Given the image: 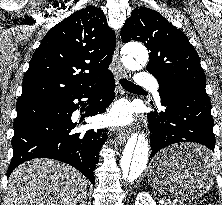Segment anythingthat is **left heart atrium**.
Here are the masks:
<instances>
[{"label":"left heart atrium","mask_w":222,"mask_h":205,"mask_svg":"<svg viewBox=\"0 0 222 205\" xmlns=\"http://www.w3.org/2000/svg\"><path fill=\"white\" fill-rule=\"evenodd\" d=\"M130 111L125 105L116 106L110 114L106 117V123L115 126H121L129 123Z\"/></svg>","instance_id":"obj_1"}]
</instances>
